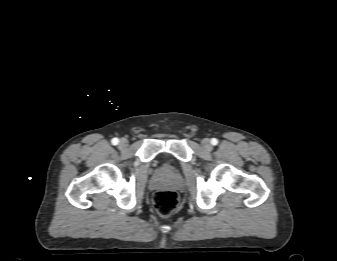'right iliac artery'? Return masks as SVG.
<instances>
[{
    "instance_id": "82829eb1",
    "label": "right iliac artery",
    "mask_w": 337,
    "mask_h": 261,
    "mask_svg": "<svg viewBox=\"0 0 337 261\" xmlns=\"http://www.w3.org/2000/svg\"><path fill=\"white\" fill-rule=\"evenodd\" d=\"M119 143V139L118 138H113L112 139V144L113 145H117Z\"/></svg>"
}]
</instances>
